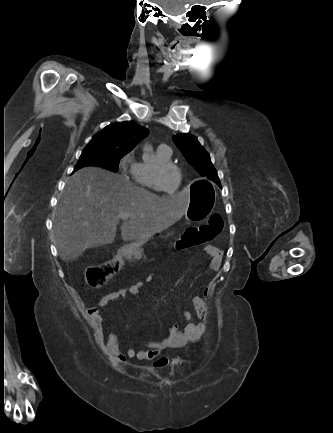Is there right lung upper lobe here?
<instances>
[{"label":"right lung upper lobe","mask_w":333,"mask_h":433,"mask_svg":"<svg viewBox=\"0 0 333 433\" xmlns=\"http://www.w3.org/2000/svg\"><path fill=\"white\" fill-rule=\"evenodd\" d=\"M148 133V129L133 121L112 123L98 132L88 146L115 148L130 152Z\"/></svg>","instance_id":"1"}]
</instances>
